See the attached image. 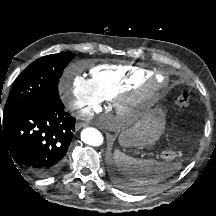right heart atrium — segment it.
I'll list each match as a JSON object with an SVG mask.
<instances>
[{"label":"right heart atrium","mask_w":216,"mask_h":216,"mask_svg":"<svg viewBox=\"0 0 216 216\" xmlns=\"http://www.w3.org/2000/svg\"><path fill=\"white\" fill-rule=\"evenodd\" d=\"M60 94L68 108L79 116L92 113L100 105L91 80L72 72H66L60 82Z\"/></svg>","instance_id":"d8ad5b80"}]
</instances>
